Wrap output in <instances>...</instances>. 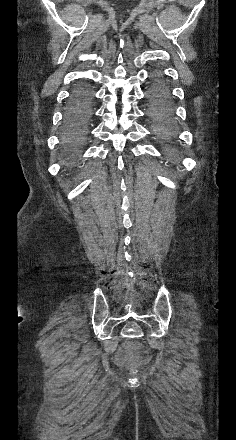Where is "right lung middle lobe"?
Segmentation results:
<instances>
[{
  "label": "right lung middle lobe",
  "mask_w": 236,
  "mask_h": 440,
  "mask_svg": "<svg viewBox=\"0 0 236 440\" xmlns=\"http://www.w3.org/2000/svg\"><path fill=\"white\" fill-rule=\"evenodd\" d=\"M82 99V105L79 109V121L76 125L66 127L63 130L62 139L67 147H72L81 142L86 134V122L90 116V100L92 91L88 87H81L77 89V94Z\"/></svg>",
  "instance_id": "obj_1"
}]
</instances>
